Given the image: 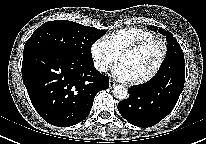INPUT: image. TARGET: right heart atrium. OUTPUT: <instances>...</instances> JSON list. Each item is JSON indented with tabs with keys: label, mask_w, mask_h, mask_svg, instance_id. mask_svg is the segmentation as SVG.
<instances>
[{
	"label": "right heart atrium",
	"mask_w": 206,
	"mask_h": 144,
	"mask_svg": "<svg viewBox=\"0 0 206 144\" xmlns=\"http://www.w3.org/2000/svg\"><path fill=\"white\" fill-rule=\"evenodd\" d=\"M90 54L94 67L101 73L108 71L118 59V56L103 38L97 39L92 43Z\"/></svg>",
	"instance_id": "obj_1"
}]
</instances>
